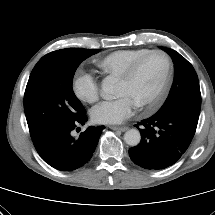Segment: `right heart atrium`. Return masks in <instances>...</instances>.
<instances>
[{
  "mask_svg": "<svg viewBox=\"0 0 215 215\" xmlns=\"http://www.w3.org/2000/svg\"><path fill=\"white\" fill-rule=\"evenodd\" d=\"M75 95L82 101L93 103L99 97V84L96 78L86 71H78L73 79Z\"/></svg>",
  "mask_w": 215,
  "mask_h": 215,
  "instance_id": "1",
  "label": "right heart atrium"
}]
</instances>
